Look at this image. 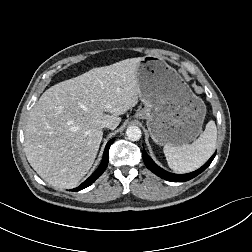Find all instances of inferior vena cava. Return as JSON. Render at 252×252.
Returning a JSON list of instances; mask_svg holds the SVG:
<instances>
[{
	"instance_id": "602c4592",
	"label": "inferior vena cava",
	"mask_w": 252,
	"mask_h": 252,
	"mask_svg": "<svg viewBox=\"0 0 252 252\" xmlns=\"http://www.w3.org/2000/svg\"><path fill=\"white\" fill-rule=\"evenodd\" d=\"M101 128H109V129H113L114 126L112 123H110L109 121H104L102 122V124L100 125Z\"/></svg>"
}]
</instances>
